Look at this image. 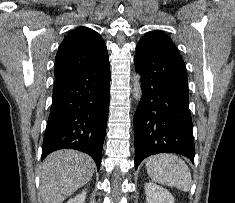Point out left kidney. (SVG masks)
<instances>
[{
  "mask_svg": "<svg viewBox=\"0 0 235 203\" xmlns=\"http://www.w3.org/2000/svg\"><path fill=\"white\" fill-rule=\"evenodd\" d=\"M145 193L147 203H174L172 194L155 183H145Z\"/></svg>",
  "mask_w": 235,
  "mask_h": 203,
  "instance_id": "left-kidney-1",
  "label": "left kidney"
}]
</instances>
